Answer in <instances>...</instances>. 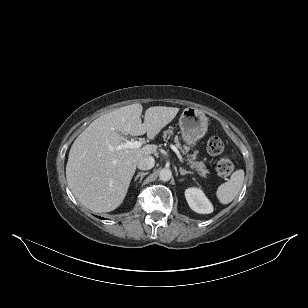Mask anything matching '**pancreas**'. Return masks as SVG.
<instances>
[{"mask_svg":"<svg viewBox=\"0 0 308 308\" xmlns=\"http://www.w3.org/2000/svg\"><path fill=\"white\" fill-rule=\"evenodd\" d=\"M172 135H173L172 129H168V130L163 132V138L164 139H169L170 136H172ZM174 142H175L176 147H178L183 153H187L190 150V148L188 146H185V145L182 146L181 145L178 136L174 137ZM190 157L191 158L188 159L190 167L192 169H195L200 176L206 177V174L209 173V171L206 169L204 162L196 161L195 160L196 159L195 154L191 155Z\"/></svg>","mask_w":308,"mask_h":308,"instance_id":"obj_1","label":"pancreas"}]
</instances>
